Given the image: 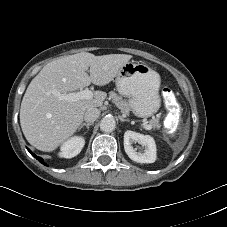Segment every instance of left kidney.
<instances>
[{
	"instance_id": "left-kidney-1",
	"label": "left kidney",
	"mask_w": 227,
	"mask_h": 227,
	"mask_svg": "<svg viewBox=\"0 0 227 227\" xmlns=\"http://www.w3.org/2000/svg\"><path fill=\"white\" fill-rule=\"evenodd\" d=\"M141 144L145 149L144 152H137L132 144ZM124 149L126 154L138 163H153L156 160V144L153 137L143 135L134 131H126L124 134Z\"/></svg>"
}]
</instances>
